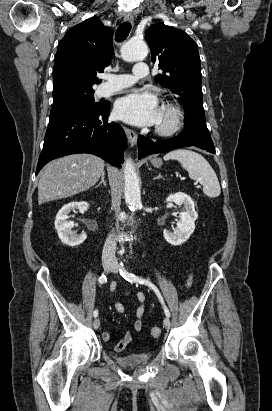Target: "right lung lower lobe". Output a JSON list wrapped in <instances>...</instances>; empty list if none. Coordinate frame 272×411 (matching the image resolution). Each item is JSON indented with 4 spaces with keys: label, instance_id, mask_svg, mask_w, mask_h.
<instances>
[{
    "label": "right lung lower lobe",
    "instance_id": "obj_1",
    "mask_svg": "<svg viewBox=\"0 0 272 411\" xmlns=\"http://www.w3.org/2000/svg\"><path fill=\"white\" fill-rule=\"evenodd\" d=\"M110 103L70 112L49 120L36 174L49 161L74 153H90L121 167L126 147L123 128L108 122Z\"/></svg>",
    "mask_w": 272,
    "mask_h": 411
}]
</instances>
